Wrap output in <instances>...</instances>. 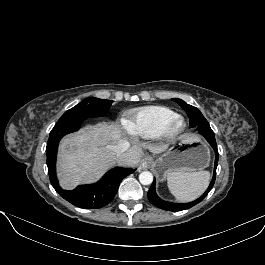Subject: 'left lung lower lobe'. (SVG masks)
<instances>
[{"label":"left lung lower lobe","mask_w":265,"mask_h":265,"mask_svg":"<svg viewBox=\"0 0 265 265\" xmlns=\"http://www.w3.org/2000/svg\"><path fill=\"white\" fill-rule=\"evenodd\" d=\"M198 132L203 135L205 137V139L209 142V144L212 146V148L215 151V166H214V175L213 178L211 180V183L208 187V189L205 191V193L199 197L198 199H196L195 201L189 202V203H171V202H166L161 200L155 191V179L147 193L148 199L149 201L155 205L158 208L164 209V210H168V211H180V210H185L188 208L193 207L194 205L200 203L209 193V191L212 189L214 182H215V178H216V168L218 165V150H217V144H216V140H215V135L214 132L212 131L209 123H205V124H200L196 126Z\"/></svg>","instance_id":"0a47b994"}]
</instances>
